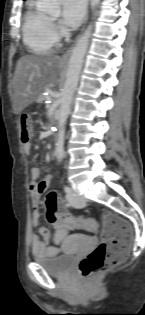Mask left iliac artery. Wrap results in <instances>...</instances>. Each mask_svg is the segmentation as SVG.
<instances>
[{
	"label": "left iliac artery",
	"mask_w": 145,
	"mask_h": 315,
	"mask_svg": "<svg viewBox=\"0 0 145 315\" xmlns=\"http://www.w3.org/2000/svg\"><path fill=\"white\" fill-rule=\"evenodd\" d=\"M64 191L66 193H70L71 192V188L69 186H67V185H64Z\"/></svg>",
	"instance_id": "left-iliac-artery-1"
}]
</instances>
